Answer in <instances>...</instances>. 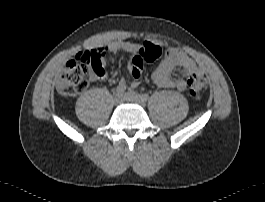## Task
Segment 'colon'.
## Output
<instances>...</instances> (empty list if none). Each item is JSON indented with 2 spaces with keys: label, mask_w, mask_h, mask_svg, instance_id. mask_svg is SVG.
I'll list each match as a JSON object with an SVG mask.
<instances>
[{
  "label": "colon",
  "mask_w": 265,
  "mask_h": 202,
  "mask_svg": "<svg viewBox=\"0 0 265 202\" xmlns=\"http://www.w3.org/2000/svg\"><path fill=\"white\" fill-rule=\"evenodd\" d=\"M101 48H90L78 52L61 71L57 86L60 91L81 92L88 86L89 67L101 73L103 68L99 62ZM167 51L159 46L148 44L136 53L132 59V75L139 78L144 67L160 58L166 57ZM206 80L202 76H192L188 81V93L193 99H200L206 90Z\"/></svg>",
  "instance_id": "obj_1"
}]
</instances>
